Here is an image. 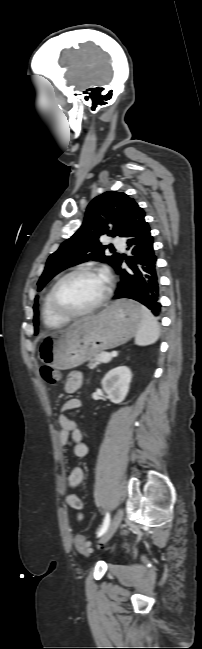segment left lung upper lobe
<instances>
[{
	"label": "left lung upper lobe",
	"mask_w": 202,
	"mask_h": 649,
	"mask_svg": "<svg viewBox=\"0 0 202 649\" xmlns=\"http://www.w3.org/2000/svg\"><path fill=\"white\" fill-rule=\"evenodd\" d=\"M143 216L145 212L123 192L109 191L94 198L87 207L82 226L48 258L38 281V291L62 270L88 259H101L113 266L120 255L105 256L107 246L101 245L99 238L104 234L123 237L133 222ZM38 305L37 296L33 307L35 335L39 331Z\"/></svg>",
	"instance_id": "1"
}]
</instances>
